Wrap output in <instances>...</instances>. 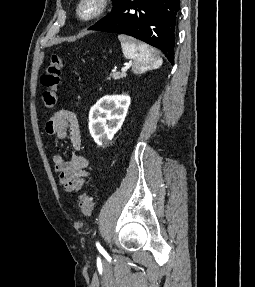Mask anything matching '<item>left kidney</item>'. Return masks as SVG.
Wrapping results in <instances>:
<instances>
[{"instance_id": "1", "label": "left kidney", "mask_w": 255, "mask_h": 287, "mask_svg": "<svg viewBox=\"0 0 255 287\" xmlns=\"http://www.w3.org/2000/svg\"><path fill=\"white\" fill-rule=\"evenodd\" d=\"M130 96H103L89 112V130L96 144H110L130 106Z\"/></svg>"}]
</instances>
